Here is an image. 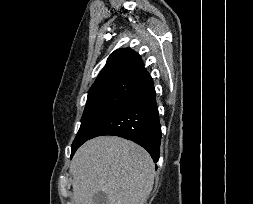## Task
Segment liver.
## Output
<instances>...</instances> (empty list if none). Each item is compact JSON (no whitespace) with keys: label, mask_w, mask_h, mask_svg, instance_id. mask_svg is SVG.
<instances>
[{"label":"liver","mask_w":253,"mask_h":204,"mask_svg":"<svg viewBox=\"0 0 253 204\" xmlns=\"http://www.w3.org/2000/svg\"><path fill=\"white\" fill-rule=\"evenodd\" d=\"M71 204H94L93 196L104 192L108 204H143L155 175L149 153L136 143L118 136H99L75 153Z\"/></svg>","instance_id":"1"}]
</instances>
